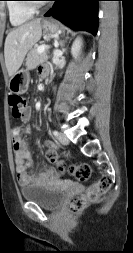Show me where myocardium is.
Returning a JSON list of instances; mask_svg holds the SVG:
<instances>
[{
  "mask_svg": "<svg viewBox=\"0 0 133 253\" xmlns=\"http://www.w3.org/2000/svg\"><path fill=\"white\" fill-rule=\"evenodd\" d=\"M24 4L28 9H30L32 11H36L42 6V4L34 3V2H27V3H24Z\"/></svg>",
  "mask_w": 133,
  "mask_h": 253,
  "instance_id": "obj_1",
  "label": "myocardium"
}]
</instances>
